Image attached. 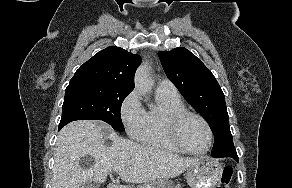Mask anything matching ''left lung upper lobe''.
Segmentation results:
<instances>
[{
  "label": "left lung upper lobe",
  "mask_w": 292,
  "mask_h": 188,
  "mask_svg": "<svg viewBox=\"0 0 292 188\" xmlns=\"http://www.w3.org/2000/svg\"><path fill=\"white\" fill-rule=\"evenodd\" d=\"M167 77L187 102L209 123L214 134L213 157L235 150L225 96L211 71L186 48L158 53Z\"/></svg>",
  "instance_id": "left-lung-upper-lobe-1"
}]
</instances>
